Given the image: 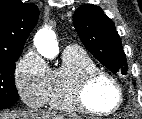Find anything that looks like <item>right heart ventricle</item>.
<instances>
[{"label":"right heart ventricle","mask_w":142,"mask_h":119,"mask_svg":"<svg viewBox=\"0 0 142 119\" xmlns=\"http://www.w3.org/2000/svg\"><path fill=\"white\" fill-rule=\"evenodd\" d=\"M98 69L93 59L79 47H67L61 65L50 71L46 102L56 110L76 113L78 110L69 98L72 82L81 74Z\"/></svg>","instance_id":"obj_1"}]
</instances>
